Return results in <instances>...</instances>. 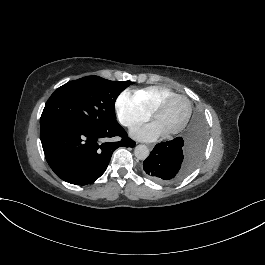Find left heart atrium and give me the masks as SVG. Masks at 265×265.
I'll return each mask as SVG.
<instances>
[{
	"mask_svg": "<svg viewBox=\"0 0 265 265\" xmlns=\"http://www.w3.org/2000/svg\"><path fill=\"white\" fill-rule=\"evenodd\" d=\"M163 133L164 131L158 126L156 122H154L133 131L132 135L142 140H153L161 136Z\"/></svg>",
	"mask_w": 265,
	"mask_h": 265,
	"instance_id": "left-heart-atrium-1",
	"label": "left heart atrium"
}]
</instances>
